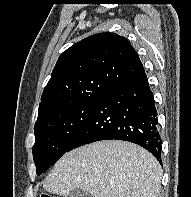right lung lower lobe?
Returning <instances> with one entry per match:
<instances>
[{
    "instance_id": "obj_1",
    "label": "right lung lower lobe",
    "mask_w": 191,
    "mask_h": 197,
    "mask_svg": "<svg viewBox=\"0 0 191 197\" xmlns=\"http://www.w3.org/2000/svg\"><path fill=\"white\" fill-rule=\"evenodd\" d=\"M106 139L133 142L161 160L157 110L145 71L115 83L103 93L68 151Z\"/></svg>"
}]
</instances>
